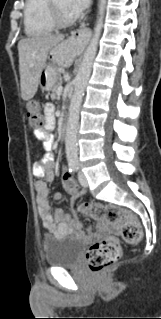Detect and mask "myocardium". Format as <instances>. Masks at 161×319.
I'll return each instance as SVG.
<instances>
[{"label": "myocardium", "instance_id": "f54148a6", "mask_svg": "<svg viewBox=\"0 0 161 319\" xmlns=\"http://www.w3.org/2000/svg\"><path fill=\"white\" fill-rule=\"evenodd\" d=\"M55 2L56 0H49V11L55 26L63 28L74 25L76 18L64 16Z\"/></svg>", "mask_w": 161, "mask_h": 319}]
</instances>
